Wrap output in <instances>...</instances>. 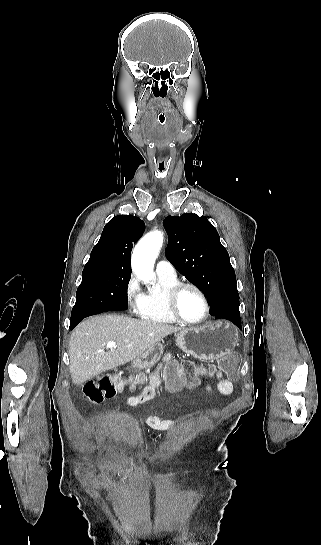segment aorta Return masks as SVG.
Returning a JSON list of instances; mask_svg holds the SVG:
<instances>
[{
    "label": "aorta",
    "instance_id": "obj_1",
    "mask_svg": "<svg viewBox=\"0 0 321 545\" xmlns=\"http://www.w3.org/2000/svg\"><path fill=\"white\" fill-rule=\"evenodd\" d=\"M163 244V233L153 231L145 235L135 246L131 258L136 276L148 281L153 274L154 263Z\"/></svg>",
    "mask_w": 321,
    "mask_h": 545
}]
</instances>
